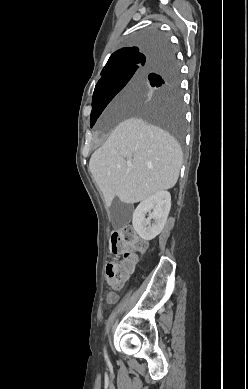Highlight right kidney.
Segmentation results:
<instances>
[{"label":"right kidney","instance_id":"right-kidney-1","mask_svg":"<svg viewBox=\"0 0 248 389\" xmlns=\"http://www.w3.org/2000/svg\"><path fill=\"white\" fill-rule=\"evenodd\" d=\"M171 208V195L159 191L143 200L133 213L132 224L136 233L144 240L154 239L162 231ZM149 212V218L145 214ZM151 219L154 223L151 224Z\"/></svg>","mask_w":248,"mask_h":389}]
</instances>
